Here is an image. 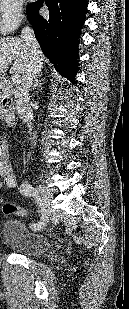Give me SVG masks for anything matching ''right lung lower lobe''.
Instances as JSON below:
<instances>
[{
  "mask_svg": "<svg viewBox=\"0 0 129 309\" xmlns=\"http://www.w3.org/2000/svg\"><path fill=\"white\" fill-rule=\"evenodd\" d=\"M45 3L49 8V17L38 14L42 5V0H38L29 8L28 19L43 53L62 76L75 83L77 44L87 0H45Z\"/></svg>",
  "mask_w": 129,
  "mask_h": 309,
  "instance_id": "obj_1",
  "label": "right lung lower lobe"
}]
</instances>
